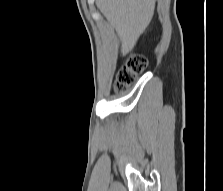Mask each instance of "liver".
I'll return each instance as SVG.
<instances>
[{"label": "liver", "instance_id": "obj_1", "mask_svg": "<svg viewBox=\"0 0 223 191\" xmlns=\"http://www.w3.org/2000/svg\"><path fill=\"white\" fill-rule=\"evenodd\" d=\"M96 5L115 28L125 56L151 22L155 0H96Z\"/></svg>", "mask_w": 223, "mask_h": 191}]
</instances>
